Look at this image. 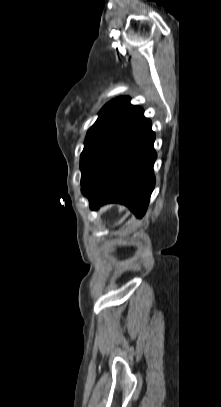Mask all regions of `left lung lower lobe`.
I'll return each mask as SVG.
<instances>
[{"label":"left lung lower lobe","instance_id":"obj_1","mask_svg":"<svg viewBox=\"0 0 221 407\" xmlns=\"http://www.w3.org/2000/svg\"><path fill=\"white\" fill-rule=\"evenodd\" d=\"M154 140L151 122L140 109L81 186L91 209L118 202L128 206L137 217L145 214L155 185Z\"/></svg>","mask_w":221,"mask_h":407}]
</instances>
